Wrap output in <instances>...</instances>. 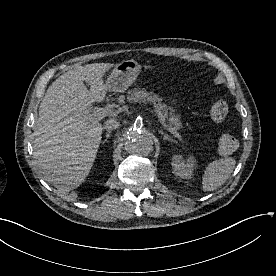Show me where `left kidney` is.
I'll use <instances>...</instances> for the list:
<instances>
[{"label":"left kidney","mask_w":276,"mask_h":276,"mask_svg":"<svg viewBox=\"0 0 276 276\" xmlns=\"http://www.w3.org/2000/svg\"><path fill=\"white\" fill-rule=\"evenodd\" d=\"M173 173L183 179L191 178L193 170L196 167V160L190 156L188 159H183L181 155H174L171 162Z\"/></svg>","instance_id":"left-kidney-1"}]
</instances>
